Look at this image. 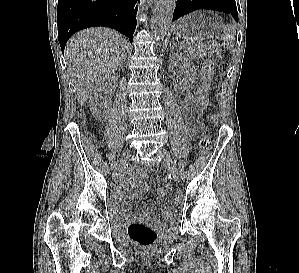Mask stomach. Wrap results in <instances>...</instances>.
I'll return each instance as SVG.
<instances>
[{"label":"stomach","instance_id":"0dacf381","mask_svg":"<svg viewBox=\"0 0 299 273\" xmlns=\"http://www.w3.org/2000/svg\"><path fill=\"white\" fill-rule=\"evenodd\" d=\"M222 27V21L216 15H207L197 11L181 18L175 27V33L184 39L202 41L217 35Z\"/></svg>","mask_w":299,"mask_h":273}]
</instances>
